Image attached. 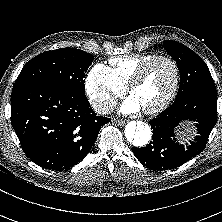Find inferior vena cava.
Returning <instances> with one entry per match:
<instances>
[{
  "label": "inferior vena cava",
  "instance_id": "602c4592",
  "mask_svg": "<svg viewBox=\"0 0 222 222\" xmlns=\"http://www.w3.org/2000/svg\"><path fill=\"white\" fill-rule=\"evenodd\" d=\"M116 103H109V104H98L94 107V110L99 114H108L111 110L114 109Z\"/></svg>",
  "mask_w": 222,
  "mask_h": 222
}]
</instances>
